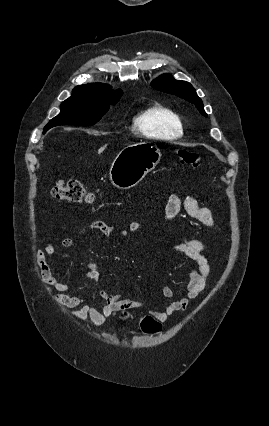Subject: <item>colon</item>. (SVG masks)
Wrapping results in <instances>:
<instances>
[{
  "mask_svg": "<svg viewBox=\"0 0 269 426\" xmlns=\"http://www.w3.org/2000/svg\"><path fill=\"white\" fill-rule=\"evenodd\" d=\"M178 157L185 165L196 166L199 163V155L194 151L181 149L178 151ZM51 193L59 201L72 203L92 201L91 194L78 180L58 181ZM141 324L143 330L150 334L158 332L161 328V324L151 316L144 317Z\"/></svg>",
  "mask_w": 269,
  "mask_h": 426,
  "instance_id": "1",
  "label": "colon"
}]
</instances>
